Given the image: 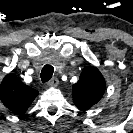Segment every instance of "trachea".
<instances>
[{"mask_svg": "<svg viewBox=\"0 0 133 133\" xmlns=\"http://www.w3.org/2000/svg\"><path fill=\"white\" fill-rule=\"evenodd\" d=\"M53 74V68L51 66H46L43 68L42 72H41V79L42 82H47L51 79Z\"/></svg>", "mask_w": 133, "mask_h": 133, "instance_id": "obj_1", "label": "trachea"}]
</instances>
